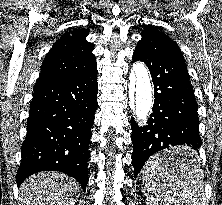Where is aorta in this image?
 I'll return each instance as SVG.
<instances>
[{
	"label": "aorta",
	"mask_w": 222,
	"mask_h": 205,
	"mask_svg": "<svg viewBox=\"0 0 222 205\" xmlns=\"http://www.w3.org/2000/svg\"><path fill=\"white\" fill-rule=\"evenodd\" d=\"M128 99L133 118L143 126L152 108V85L142 62L135 63L129 75Z\"/></svg>",
	"instance_id": "aorta-1"
}]
</instances>
